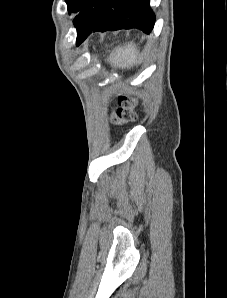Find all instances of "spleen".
<instances>
[{
  "mask_svg": "<svg viewBox=\"0 0 227 298\" xmlns=\"http://www.w3.org/2000/svg\"><path fill=\"white\" fill-rule=\"evenodd\" d=\"M139 50L135 43H128L124 46L116 47L109 55L107 61L122 69L130 68L138 61Z\"/></svg>",
  "mask_w": 227,
  "mask_h": 298,
  "instance_id": "spleen-1",
  "label": "spleen"
}]
</instances>
